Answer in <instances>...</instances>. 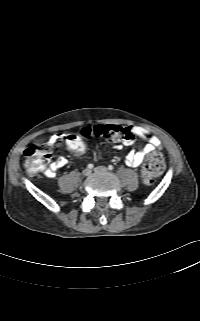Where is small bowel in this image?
Returning a JSON list of instances; mask_svg holds the SVG:
<instances>
[{"label":"small bowel","instance_id":"small-bowel-1","mask_svg":"<svg viewBox=\"0 0 200 321\" xmlns=\"http://www.w3.org/2000/svg\"><path fill=\"white\" fill-rule=\"evenodd\" d=\"M132 130L135 135L147 141V144L143 148L139 150H131L126 155L125 161L127 165L135 168L142 164L146 156L153 153L161 146V141L158 137L151 134V132L145 128L133 127ZM64 139L67 140V137L64 134H53L48 139L47 144L50 147H53L58 145ZM67 162L68 161L65 157H58L57 159L50 162L46 168H44V175L48 178H54L57 171L63 168L67 164Z\"/></svg>","mask_w":200,"mask_h":321}]
</instances>
